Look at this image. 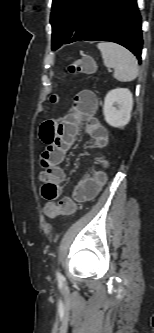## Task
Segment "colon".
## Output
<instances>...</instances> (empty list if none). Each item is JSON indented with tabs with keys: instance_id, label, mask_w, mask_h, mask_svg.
<instances>
[{
	"instance_id": "colon-1",
	"label": "colon",
	"mask_w": 154,
	"mask_h": 333,
	"mask_svg": "<svg viewBox=\"0 0 154 333\" xmlns=\"http://www.w3.org/2000/svg\"><path fill=\"white\" fill-rule=\"evenodd\" d=\"M69 72L72 74L76 73H86L92 74L95 71V63L92 58L85 57L74 61L68 68ZM59 100L57 95H52L50 97L51 103H57ZM76 211V205L74 201L70 198H63L58 204L48 202L44 206V213L49 218H55L57 216H71Z\"/></svg>"
}]
</instances>
